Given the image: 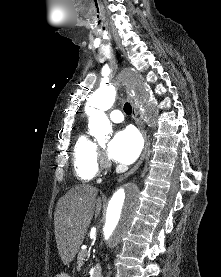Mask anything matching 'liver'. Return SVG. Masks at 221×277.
<instances>
[{"label":"liver","mask_w":221,"mask_h":277,"mask_svg":"<svg viewBox=\"0 0 221 277\" xmlns=\"http://www.w3.org/2000/svg\"><path fill=\"white\" fill-rule=\"evenodd\" d=\"M98 189L81 184L62 196L54 214V232L59 256L64 264L75 258L82 245L91 220L99 215L102 200Z\"/></svg>","instance_id":"obj_1"}]
</instances>
